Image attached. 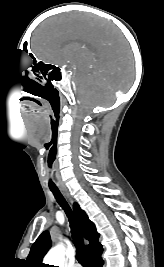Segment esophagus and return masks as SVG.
I'll use <instances>...</instances> for the list:
<instances>
[{"label":"esophagus","instance_id":"34e87169","mask_svg":"<svg viewBox=\"0 0 164 267\" xmlns=\"http://www.w3.org/2000/svg\"><path fill=\"white\" fill-rule=\"evenodd\" d=\"M62 191L69 200H72L71 196L69 195V192L66 189L63 188Z\"/></svg>","mask_w":164,"mask_h":267}]
</instances>
